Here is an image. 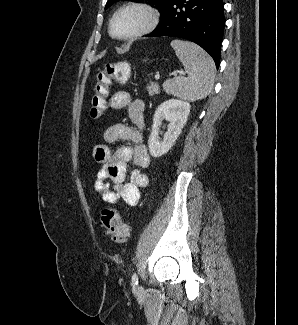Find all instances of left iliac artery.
Here are the masks:
<instances>
[{
	"label": "left iliac artery",
	"mask_w": 298,
	"mask_h": 325,
	"mask_svg": "<svg viewBox=\"0 0 298 325\" xmlns=\"http://www.w3.org/2000/svg\"><path fill=\"white\" fill-rule=\"evenodd\" d=\"M138 285V276L136 273L132 275V286L135 287Z\"/></svg>",
	"instance_id": "1"
}]
</instances>
